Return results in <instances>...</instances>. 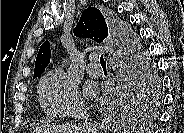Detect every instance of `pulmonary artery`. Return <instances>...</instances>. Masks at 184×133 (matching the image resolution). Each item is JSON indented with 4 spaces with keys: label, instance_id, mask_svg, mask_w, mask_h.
<instances>
[{
    "label": "pulmonary artery",
    "instance_id": "obj_1",
    "mask_svg": "<svg viewBox=\"0 0 184 133\" xmlns=\"http://www.w3.org/2000/svg\"><path fill=\"white\" fill-rule=\"evenodd\" d=\"M96 56H91V62L86 67V72L91 77H100L102 75V69L96 64Z\"/></svg>",
    "mask_w": 184,
    "mask_h": 133
}]
</instances>
